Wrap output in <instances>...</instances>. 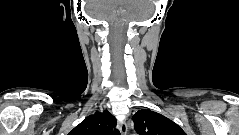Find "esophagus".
Segmentation results:
<instances>
[{
  "label": "esophagus",
  "instance_id": "esophagus-1",
  "mask_svg": "<svg viewBox=\"0 0 239 135\" xmlns=\"http://www.w3.org/2000/svg\"><path fill=\"white\" fill-rule=\"evenodd\" d=\"M118 128L122 135H127L128 133V126L125 121H121L118 125Z\"/></svg>",
  "mask_w": 239,
  "mask_h": 135
}]
</instances>
